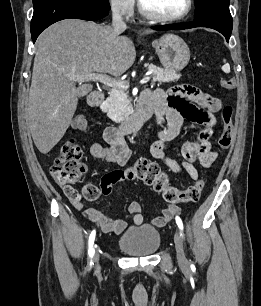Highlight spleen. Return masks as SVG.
<instances>
[{
    "label": "spleen",
    "mask_w": 261,
    "mask_h": 306,
    "mask_svg": "<svg viewBox=\"0 0 261 306\" xmlns=\"http://www.w3.org/2000/svg\"><path fill=\"white\" fill-rule=\"evenodd\" d=\"M224 62H225V60H224ZM222 69H223L224 72H227V73L230 72V66H229V64L225 63V64L223 65Z\"/></svg>",
    "instance_id": "obj_1"
}]
</instances>
